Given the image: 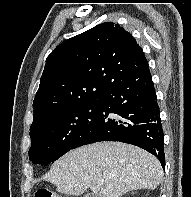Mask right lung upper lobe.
<instances>
[{"instance_id": "obj_1", "label": "right lung upper lobe", "mask_w": 191, "mask_h": 197, "mask_svg": "<svg viewBox=\"0 0 191 197\" xmlns=\"http://www.w3.org/2000/svg\"><path fill=\"white\" fill-rule=\"evenodd\" d=\"M147 66L133 36L113 22L64 41L46 59L31 127L70 107L98 101L109 86Z\"/></svg>"}]
</instances>
